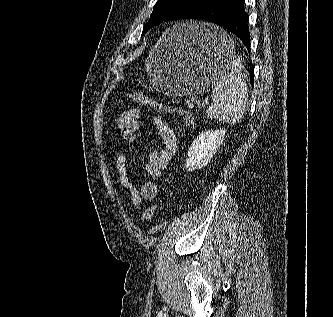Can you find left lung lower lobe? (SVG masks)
Segmentation results:
<instances>
[{
  "label": "left lung lower lobe",
  "instance_id": "obj_1",
  "mask_svg": "<svg viewBox=\"0 0 333 317\" xmlns=\"http://www.w3.org/2000/svg\"><path fill=\"white\" fill-rule=\"evenodd\" d=\"M244 6L245 0H214L208 5L193 10L185 19L204 20L222 26L238 36L250 52L249 17ZM251 83H254L253 78Z\"/></svg>",
  "mask_w": 333,
  "mask_h": 317
}]
</instances>
